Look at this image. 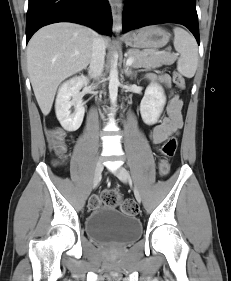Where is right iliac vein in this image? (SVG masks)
I'll use <instances>...</instances> for the list:
<instances>
[{
  "instance_id": "obj_1",
  "label": "right iliac vein",
  "mask_w": 231,
  "mask_h": 281,
  "mask_svg": "<svg viewBox=\"0 0 231 281\" xmlns=\"http://www.w3.org/2000/svg\"><path fill=\"white\" fill-rule=\"evenodd\" d=\"M103 171L102 161L99 159L95 166L94 178H93V188H95L101 179V174Z\"/></svg>"
}]
</instances>
